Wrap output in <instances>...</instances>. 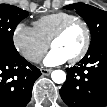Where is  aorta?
Returning <instances> with one entry per match:
<instances>
[{"instance_id":"762f6f07","label":"aorta","mask_w":107,"mask_h":107,"mask_svg":"<svg viewBox=\"0 0 107 107\" xmlns=\"http://www.w3.org/2000/svg\"><path fill=\"white\" fill-rule=\"evenodd\" d=\"M52 80L57 84H62L66 80V73L63 70H54L51 73Z\"/></svg>"}]
</instances>
